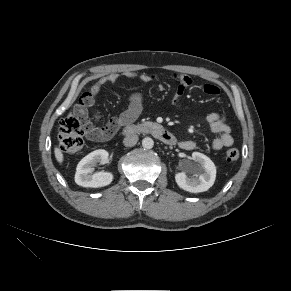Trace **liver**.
<instances>
[{
	"label": "liver",
	"mask_w": 291,
	"mask_h": 291,
	"mask_svg": "<svg viewBox=\"0 0 291 291\" xmlns=\"http://www.w3.org/2000/svg\"><path fill=\"white\" fill-rule=\"evenodd\" d=\"M54 154H55V158L58 161V163L62 164L63 160H64V156H63V153H62L61 149L58 148V147H55L54 148Z\"/></svg>",
	"instance_id": "obj_1"
}]
</instances>
